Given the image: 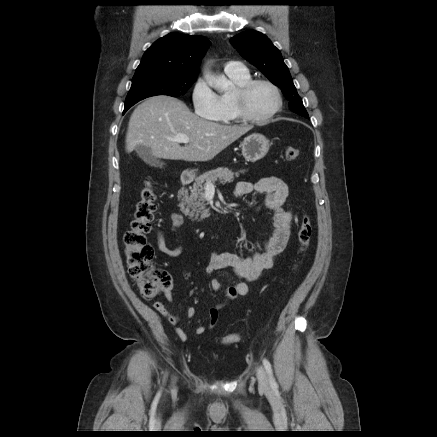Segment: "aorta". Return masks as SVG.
Listing matches in <instances>:
<instances>
[{
	"label": "aorta",
	"instance_id": "aorta-1",
	"mask_svg": "<svg viewBox=\"0 0 437 437\" xmlns=\"http://www.w3.org/2000/svg\"><path fill=\"white\" fill-rule=\"evenodd\" d=\"M203 74L207 83L218 92H226L230 90L231 82L226 78H215L211 75L209 69H205Z\"/></svg>",
	"mask_w": 437,
	"mask_h": 437
}]
</instances>
